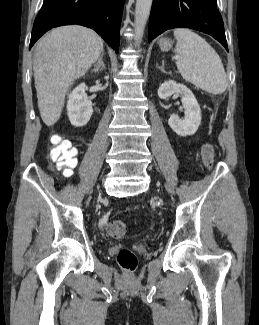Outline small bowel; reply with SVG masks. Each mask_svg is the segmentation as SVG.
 I'll list each match as a JSON object with an SVG mask.
<instances>
[{
	"mask_svg": "<svg viewBox=\"0 0 259 325\" xmlns=\"http://www.w3.org/2000/svg\"><path fill=\"white\" fill-rule=\"evenodd\" d=\"M68 143H70L69 141H68ZM75 149V148H74ZM76 150V149H75ZM77 152V151H76ZM107 216H103L102 218H101V220H100V224L102 225V226H104V224H105V222H106V220H107Z\"/></svg>",
	"mask_w": 259,
	"mask_h": 325,
	"instance_id": "small-bowel-1",
	"label": "small bowel"
}]
</instances>
